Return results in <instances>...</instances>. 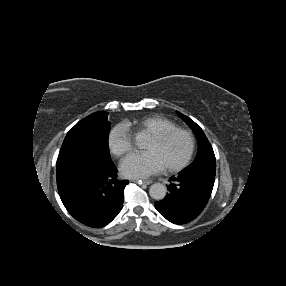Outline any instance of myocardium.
<instances>
[{
	"instance_id": "obj_1",
	"label": "myocardium",
	"mask_w": 286,
	"mask_h": 286,
	"mask_svg": "<svg viewBox=\"0 0 286 286\" xmlns=\"http://www.w3.org/2000/svg\"><path fill=\"white\" fill-rule=\"evenodd\" d=\"M179 132H184L189 136L190 148H189V151H188L186 157L182 161H180L177 164H174V165H171L168 167H164L163 170L166 172L180 171L189 164V162L191 161V159L195 153V148H196V140H195L194 133L187 128L177 127V128L165 130V131H162V132H159V133H156V134H153L150 136V138L153 139L154 141L161 142V141H164V140L168 139L169 137H171L172 135L179 133Z\"/></svg>"
}]
</instances>
